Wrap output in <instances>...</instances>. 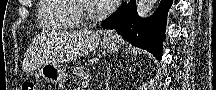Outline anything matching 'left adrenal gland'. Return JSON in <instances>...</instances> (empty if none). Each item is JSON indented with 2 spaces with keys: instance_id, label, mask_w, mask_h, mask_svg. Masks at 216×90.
I'll use <instances>...</instances> for the list:
<instances>
[{
  "instance_id": "left-adrenal-gland-1",
  "label": "left adrenal gland",
  "mask_w": 216,
  "mask_h": 90,
  "mask_svg": "<svg viewBox=\"0 0 216 90\" xmlns=\"http://www.w3.org/2000/svg\"><path fill=\"white\" fill-rule=\"evenodd\" d=\"M119 64H120V68H122L121 62H119ZM107 80H110V74H109V72H108V78H107Z\"/></svg>"
}]
</instances>
